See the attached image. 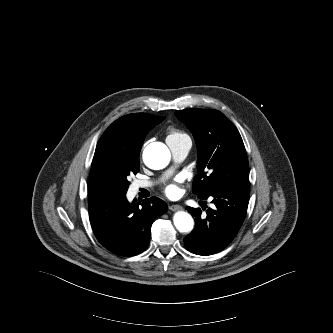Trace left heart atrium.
<instances>
[{
    "instance_id": "1",
    "label": "left heart atrium",
    "mask_w": 333,
    "mask_h": 333,
    "mask_svg": "<svg viewBox=\"0 0 333 333\" xmlns=\"http://www.w3.org/2000/svg\"><path fill=\"white\" fill-rule=\"evenodd\" d=\"M181 180L180 179H177L176 182L174 183H171L169 185L166 186L165 188V192L168 196L170 197H174V196H177L179 195L180 193V188H179V185L178 183L180 182Z\"/></svg>"
}]
</instances>
